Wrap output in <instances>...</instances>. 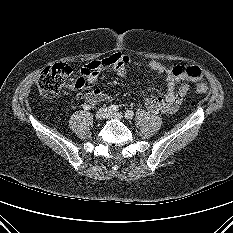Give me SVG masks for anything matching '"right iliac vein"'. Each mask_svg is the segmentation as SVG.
<instances>
[{
    "mask_svg": "<svg viewBox=\"0 0 233 233\" xmlns=\"http://www.w3.org/2000/svg\"><path fill=\"white\" fill-rule=\"evenodd\" d=\"M109 114V111L107 110V108H100L96 114L95 117L97 120H103L105 119Z\"/></svg>",
    "mask_w": 233,
    "mask_h": 233,
    "instance_id": "63e3f726",
    "label": "right iliac vein"
}]
</instances>
